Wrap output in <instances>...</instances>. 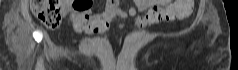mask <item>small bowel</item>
I'll return each instance as SVG.
<instances>
[{"label": "small bowel", "instance_id": "obj_1", "mask_svg": "<svg viewBox=\"0 0 238 70\" xmlns=\"http://www.w3.org/2000/svg\"><path fill=\"white\" fill-rule=\"evenodd\" d=\"M177 4L176 1L170 0H135L134 6L123 9L117 2H107L104 10L96 13L91 10L90 0H78V5L71 0H63L73 31L90 36L104 33L114 18L135 17L136 26L172 20L174 17H166L165 13ZM141 12L146 14L143 17L137 16Z\"/></svg>", "mask_w": 238, "mask_h": 70}]
</instances>
